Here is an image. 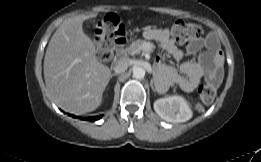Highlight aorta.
<instances>
[{
  "mask_svg": "<svg viewBox=\"0 0 261 162\" xmlns=\"http://www.w3.org/2000/svg\"><path fill=\"white\" fill-rule=\"evenodd\" d=\"M145 76V70L142 67H135L133 69V77L136 79H143Z\"/></svg>",
  "mask_w": 261,
  "mask_h": 162,
  "instance_id": "obj_1",
  "label": "aorta"
}]
</instances>
